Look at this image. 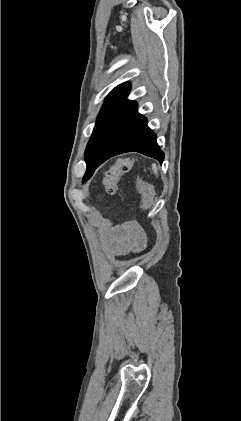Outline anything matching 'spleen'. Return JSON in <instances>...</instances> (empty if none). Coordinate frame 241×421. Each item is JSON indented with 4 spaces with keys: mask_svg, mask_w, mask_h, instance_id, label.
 Masks as SVG:
<instances>
[{
    "mask_svg": "<svg viewBox=\"0 0 241 421\" xmlns=\"http://www.w3.org/2000/svg\"><path fill=\"white\" fill-rule=\"evenodd\" d=\"M152 170L154 171V174H155L156 176H158V169H157L156 164H152Z\"/></svg>",
    "mask_w": 241,
    "mask_h": 421,
    "instance_id": "3e777b00",
    "label": "spleen"
}]
</instances>
